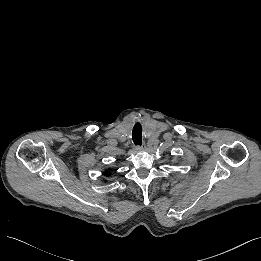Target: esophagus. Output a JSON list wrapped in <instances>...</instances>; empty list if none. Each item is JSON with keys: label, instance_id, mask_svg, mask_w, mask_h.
Here are the masks:
<instances>
[{"label": "esophagus", "instance_id": "34e87169", "mask_svg": "<svg viewBox=\"0 0 261 261\" xmlns=\"http://www.w3.org/2000/svg\"><path fill=\"white\" fill-rule=\"evenodd\" d=\"M137 151H144L146 149L145 144L143 143L140 147H135Z\"/></svg>", "mask_w": 261, "mask_h": 261}]
</instances>
